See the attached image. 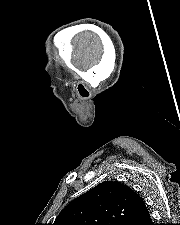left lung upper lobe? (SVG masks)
Returning a JSON list of instances; mask_svg holds the SVG:
<instances>
[{"mask_svg": "<svg viewBox=\"0 0 180 225\" xmlns=\"http://www.w3.org/2000/svg\"><path fill=\"white\" fill-rule=\"evenodd\" d=\"M145 209L130 187L106 181L69 203L53 225H127Z\"/></svg>", "mask_w": 180, "mask_h": 225, "instance_id": "5c2ea615", "label": "left lung upper lobe"}]
</instances>
